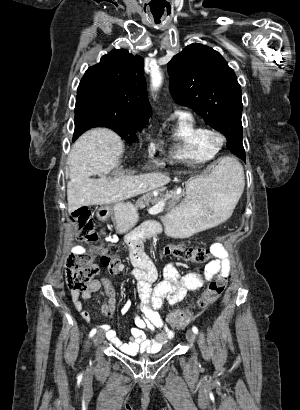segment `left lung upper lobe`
<instances>
[{"instance_id": "1", "label": "left lung upper lobe", "mask_w": 300, "mask_h": 410, "mask_svg": "<svg viewBox=\"0 0 300 410\" xmlns=\"http://www.w3.org/2000/svg\"><path fill=\"white\" fill-rule=\"evenodd\" d=\"M174 100L192 108L223 133L227 147L242 160V94L234 71L215 50L191 44L168 63Z\"/></svg>"}]
</instances>
